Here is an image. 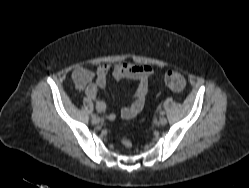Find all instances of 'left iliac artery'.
<instances>
[{
  "mask_svg": "<svg viewBox=\"0 0 249 188\" xmlns=\"http://www.w3.org/2000/svg\"><path fill=\"white\" fill-rule=\"evenodd\" d=\"M160 114H161L162 116H164V115H165V112H164V111H161Z\"/></svg>",
  "mask_w": 249,
  "mask_h": 188,
  "instance_id": "1",
  "label": "left iliac artery"
}]
</instances>
